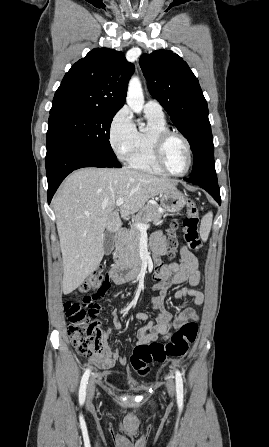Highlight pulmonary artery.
Listing matches in <instances>:
<instances>
[{"label":"pulmonary artery","instance_id":"obj_1","mask_svg":"<svg viewBox=\"0 0 269 447\" xmlns=\"http://www.w3.org/2000/svg\"><path fill=\"white\" fill-rule=\"evenodd\" d=\"M144 112L155 115L159 118L164 117L162 105L155 99H150L144 105Z\"/></svg>","mask_w":269,"mask_h":447}]
</instances>
